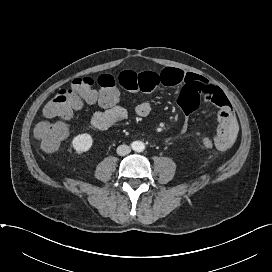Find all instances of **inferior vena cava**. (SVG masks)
<instances>
[{
    "label": "inferior vena cava",
    "instance_id": "1",
    "mask_svg": "<svg viewBox=\"0 0 272 272\" xmlns=\"http://www.w3.org/2000/svg\"><path fill=\"white\" fill-rule=\"evenodd\" d=\"M131 152V148L128 145H120L117 148V154L120 156L128 155Z\"/></svg>",
    "mask_w": 272,
    "mask_h": 272
}]
</instances>
